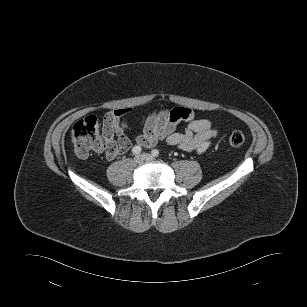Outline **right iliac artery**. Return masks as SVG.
<instances>
[{
  "label": "right iliac artery",
  "instance_id": "right-iliac-artery-1",
  "mask_svg": "<svg viewBox=\"0 0 307 307\" xmlns=\"http://www.w3.org/2000/svg\"><path fill=\"white\" fill-rule=\"evenodd\" d=\"M132 152H133V154H135V155H137V154H140V152H141V147L140 146H134L133 148H132Z\"/></svg>",
  "mask_w": 307,
  "mask_h": 307
}]
</instances>
